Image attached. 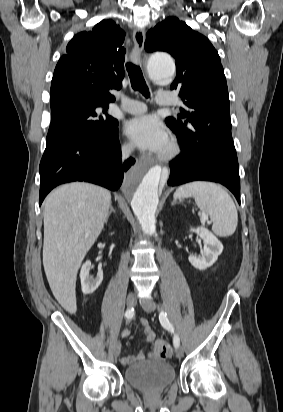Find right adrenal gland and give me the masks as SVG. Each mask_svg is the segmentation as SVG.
<instances>
[{
  "label": "right adrenal gland",
  "mask_w": 283,
  "mask_h": 412,
  "mask_svg": "<svg viewBox=\"0 0 283 412\" xmlns=\"http://www.w3.org/2000/svg\"><path fill=\"white\" fill-rule=\"evenodd\" d=\"M111 213H115V210H114V208H113V206H112V203H110L109 211H108L107 217H106V223H107V221H108Z\"/></svg>",
  "instance_id": "right-adrenal-gland-1"
}]
</instances>
